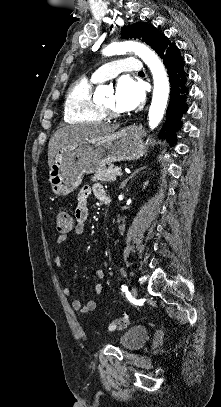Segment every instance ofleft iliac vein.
<instances>
[{"instance_id": "left-iliac-vein-1", "label": "left iliac vein", "mask_w": 221, "mask_h": 407, "mask_svg": "<svg viewBox=\"0 0 221 407\" xmlns=\"http://www.w3.org/2000/svg\"><path fill=\"white\" fill-rule=\"evenodd\" d=\"M130 292H131L132 297H134V298L137 297V290L135 287H132Z\"/></svg>"}]
</instances>
